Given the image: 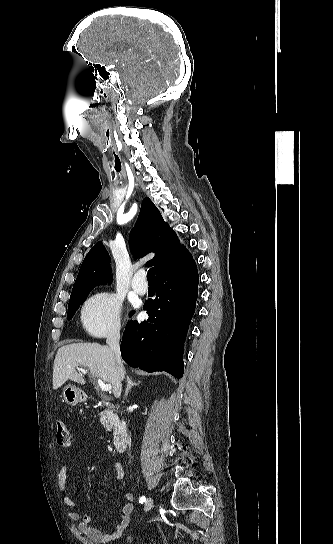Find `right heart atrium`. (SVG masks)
<instances>
[{
  "label": "right heart atrium",
  "mask_w": 333,
  "mask_h": 544,
  "mask_svg": "<svg viewBox=\"0 0 333 544\" xmlns=\"http://www.w3.org/2000/svg\"><path fill=\"white\" fill-rule=\"evenodd\" d=\"M120 298L109 292L92 296L83 306L81 321L85 330L96 337L117 335L121 327Z\"/></svg>",
  "instance_id": "obj_1"
}]
</instances>
